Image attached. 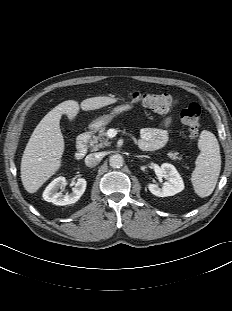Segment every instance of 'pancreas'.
I'll return each mask as SVG.
<instances>
[{
    "label": "pancreas",
    "mask_w": 232,
    "mask_h": 311,
    "mask_svg": "<svg viewBox=\"0 0 232 311\" xmlns=\"http://www.w3.org/2000/svg\"><path fill=\"white\" fill-rule=\"evenodd\" d=\"M107 135L105 127H102L97 135H93L90 140V147L93 151H97L99 148H103L104 146H110V142L105 138ZM178 152L170 151L167 155L172 160H181L182 157L178 156Z\"/></svg>",
    "instance_id": "1"
}]
</instances>
